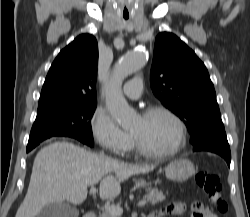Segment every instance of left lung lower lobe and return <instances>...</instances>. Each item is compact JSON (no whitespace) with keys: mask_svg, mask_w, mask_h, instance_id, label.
Wrapping results in <instances>:
<instances>
[{"mask_svg":"<svg viewBox=\"0 0 250 217\" xmlns=\"http://www.w3.org/2000/svg\"><path fill=\"white\" fill-rule=\"evenodd\" d=\"M194 151H209L222 156L230 166L231 152L224 127L216 128L203 135L194 144Z\"/></svg>","mask_w":250,"mask_h":217,"instance_id":"obj_1","label":"left lung lower lobe"}]
</instances>
